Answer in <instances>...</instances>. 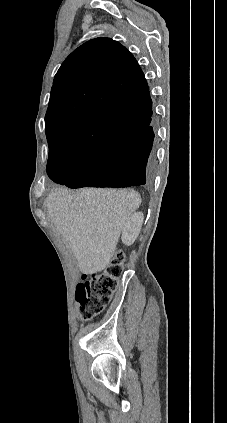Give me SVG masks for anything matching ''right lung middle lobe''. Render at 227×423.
<instances>
[{
  "label": "right lung middle lobe",
  "instance_id": "right-lung-middle-lobe-1",
  "mask_svg": "<svg viewBox=\"0 0 227 423\" xmlns=\"http://www.w3.org/2000/svg\"><path fill=\"white\" fill-rule=\"evenodd\" d=\"M49 144V158L48 163L57 160H67L68 162H78L86 152L77 151L61 144L51 143Z\"/></svg>",
  "mask_w": 227,
  "mask_h": 423
}]
</instances>
